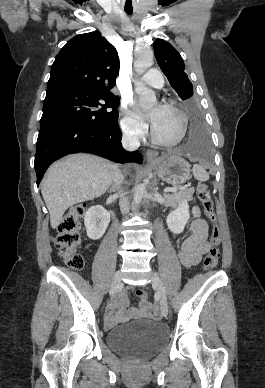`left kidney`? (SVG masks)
I'll list each match as a JSON object with an SVG mask.
<instances>
[{"label": "left kidney", "mask_w": 265, "mask_h": 388, "mask_svg": "<svg viewBox=\"0 0 265 388\" xmlns=\"http://www.w3.org/2000/svg\"><path fill=\"white\" fill-rule=\"evenodd\" d=\"M189 220V206L184 200L179 204L177 210L171 212L169 216H167V226L173 234H181L183 232L187 222Z\"/></svg>", "instance_id": "1"}]
</instances>
